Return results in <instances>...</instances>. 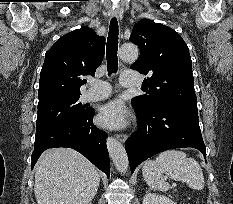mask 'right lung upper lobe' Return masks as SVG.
Here are the masks:
<instances>
[{
  "label": "right lung upper lobe",
  "mask_w": 233,
  "mask_h": 204,
  "mask_svg": "<svg viewBox=\"0 0 233 204\" xmlns=\"http://www.w3.org/2000/svg\"><path fill=\"white\" fill-rule=\"evenodd\" d=\"M105 38L81 27L65 34L46 52L40 73L39 102L80 95L85 75H94L103 60Z\"/></svg>",
  "instance_id": "right-lung-upper-lobe-1"
}]
</instances>
